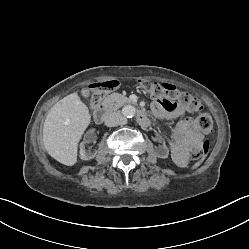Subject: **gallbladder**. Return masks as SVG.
<instances>
[{
	"label": "gallbladder",
	"instance_id": "bac80fb5",
	"mask_svg": "<svg viewBox=\"0 0 249 249\" xmlns=\"http://www.w3.org/2000/svg\"><path fill=\"white\" fill-rule=\"evenodd\" d=\"M82 96H83L84 98H89V96H90V91L87 90V89H83V90H82Z\"/></svg>",
	"mask_w": 249,
	"mask_h": 249
}]
</instances>
